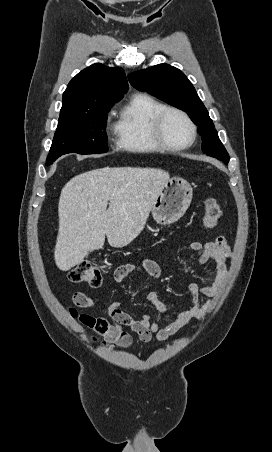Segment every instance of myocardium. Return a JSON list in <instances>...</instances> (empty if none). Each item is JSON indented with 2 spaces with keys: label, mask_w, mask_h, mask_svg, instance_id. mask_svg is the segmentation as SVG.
Listing matches in <instances>:
<instances>
[{
  "label": "myocardium",
  "mask_w": 272,
  "mask_h": 452,
  "mask_svg": "<svg viewBox=\"0 0 272 452\" xmlns=\"http://www.w3.org/2000/svg\"><path fill=\"white\" fill-rule=\"evenodd\" d=\"M173 112L180 115L188 124L190 129V139L182 144H172L170 143L164 135L163 132V120L167 113ZM152 133L155 141L159 144V146L166 150L178 151L189 148L196 139L197 136V127L191 117L182 109L175 106H163L154 116L152 120Z\"/></svg>",
  "instance_id": "myocardium-1"
}]
</instances>
